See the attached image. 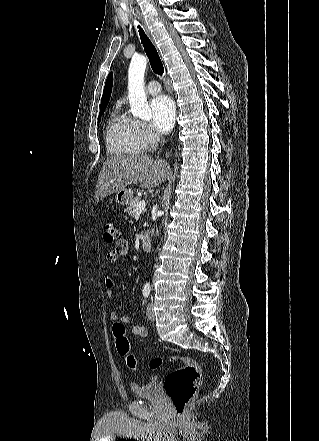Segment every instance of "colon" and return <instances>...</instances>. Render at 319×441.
Listing matches in <instances>:
<instances>
[{
    "label": "colon",
    "mask_w": 319,
    "mask_h": 441,
    "mask_svg": "<svg viewBox=\"0 0 319 441\" xmlns=\"http://www.w3.org/2000/svg\"><path fill=\"white\" fill-rule=\"evenodd\" d=\"M104 240L114 242L119 239L120 233L113 221H108L104 226ZM117 352L125 358L126 365L131 370L139 368V362L131 353V345L122 322L116 321L112 326ZM165 361L179 362L180 368L171 371L164 380V389L169 397L177 417H183L187 403L195 395L200 380V365L192 357L171 356L169 358L154 357L148 367L151 370L159 369Z\"/></svg>",
    "instance_id": "5ec220e1"
}]
</instances>
